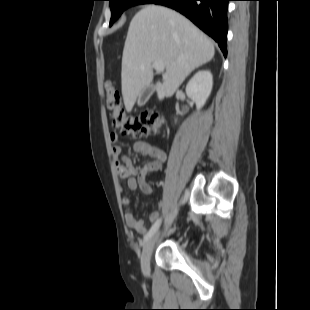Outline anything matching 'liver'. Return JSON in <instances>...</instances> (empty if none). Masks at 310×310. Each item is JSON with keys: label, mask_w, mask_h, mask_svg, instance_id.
Segmentation results:
<instances>
[{"label": "liver", "mask_w": 310, "mask_h": 310, "mask_svg": "<svg viewBox=\"0 0 310 310\" xmlns=\"http://www.w3.org/2000/svg\"><path fill=\"white\" fill-rule=\"evenodd\" d=\"M215 54L212 41L181 14L157 5L143 7L131 20L122 56L124 105L131 112L137 97L153 80V63L163 62L157 97H171L185 78Z\"/></svg>", "instance_id": "obj_1"}]
</instances>
